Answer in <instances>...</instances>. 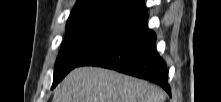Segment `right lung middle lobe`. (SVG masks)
Listing matches in <instances>:
<instances>
[{"label":"right lung middle lobe","instance_id":"obj_1","mask_svg":"<svg viewBox=\"0 0 221 102\" xmlns=\"http://www.w3.org/2000/svg\"><path fill=\"white\" fill-rule=\"evenodd\" d=\"M141 15L139 10L108 2L92 3L72 10L55 65L53 85Z\"/></svg>","mask_w":221,"mask_h":102}]
</instances>
